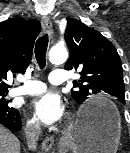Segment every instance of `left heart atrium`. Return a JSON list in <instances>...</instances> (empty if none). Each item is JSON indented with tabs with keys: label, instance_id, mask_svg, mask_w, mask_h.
Returning <instances> with one entry per match:
<instances>
[{
	"label": "left heart atrium",
	"instance_id": "obj_1",
	"mask_svg": "<svg viewBox=\"0 0 130 153\" xmlns=\"http://www.w3.org/2000/svg\"><path fill=\"white\" fill-rule=\"evenodd\" d=\"M32 109L37 119L46 125L58 122L64 114L63 103L53 92H47L34 99Z\"/></svg>",
	"mask_w": 130,
	"mask_h": 153
}]
</instances>
